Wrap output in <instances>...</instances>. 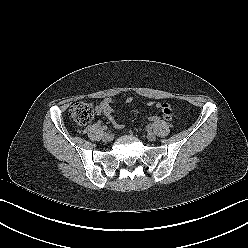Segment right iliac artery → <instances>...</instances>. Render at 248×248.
<instances>
[{"mask_svg": "<svg viewBox=\"0 0 248 248\" xmlns=\"http://www.w3.org/2000/svg\"><path fill=\"white\" fill-rule=\"evenodd\" d=\"M102 129H103L104 131H107V130H108V127H107L106 125H104V126L102 127Z\"/></svg>", "mask_w": 248, "mask_h": 248, "instance_id": "obj_1", "label": "right iliac artery"}]
</instances>
